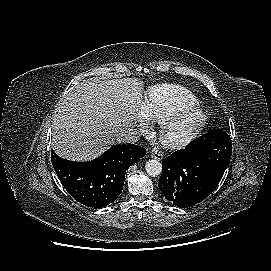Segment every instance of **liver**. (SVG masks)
I'll return each instance as SVG.
<instances>
[{"label":"liver","instance_id":"obj_1","mask_svg":"<svg viewBox=\"0 0 271 271\" xmlns=\"http://www.w3.org/2000/svg\"><path fill=\"white\" fill-rule=\"evenodd\" d=\"M143 90L138 78H91L76 85L55 109L51 143L55 153L74 161L101 155L136 124Z\"/></svg>","mask_w":271,"mask_h":271}]
</instances>
